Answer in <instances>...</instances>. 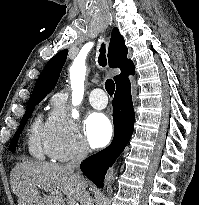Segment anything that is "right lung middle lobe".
Masks as SVG:
<instances>
[{"label": "right lung middle lobe", "mask_w": 199, "mask_h": 205, "mask_svg": "<svg viewBox=\"0 0 199 205\" xmlns=\"http://www.w3.org/2000/svg\"><path fill=\"white\" fill-rule=\"evenodd\" d=\"M42 100L43 99H37V100H32V101L28 102L27 107H26V112H25L24 116L22 117L19 128H18L17 132L14 134V136L10 142L9 150L11 152L16 151L17 142H18V138H19L20 133L23 131V128H24L27 120L30 118L35 106Z\"/></svg>", "instance_id": "obj_1"}]
</instances>
